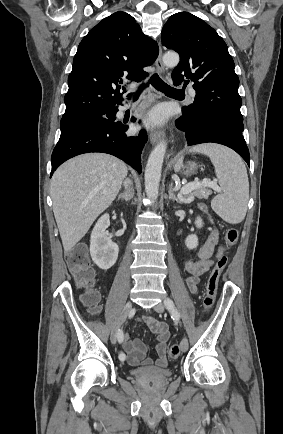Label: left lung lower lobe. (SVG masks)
<instances>
[{"label":"left lung lower lobe","instance_id":"1","mask_svg":"<svg viewBox=\"0 0 283 434\" xmlns=\"http://www.w3.org/2000/svg\"><path fill=\"white\" fill-rule=\"evenodd\" d=\"M176 126L185 132L189 146L201 143H218L236 151L249 165V150L243 137L244 125L240 120L224 114H208L192 123L181 116Z\"/></svg>","mask_w":283,"mask_h":434}]
</instances>
